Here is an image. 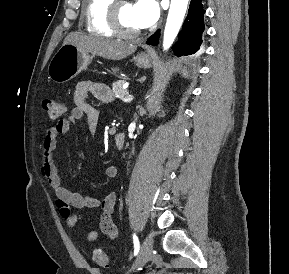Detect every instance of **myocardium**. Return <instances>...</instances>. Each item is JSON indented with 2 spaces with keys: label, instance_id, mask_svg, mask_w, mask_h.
I'll return each mask as SVG.
<instances>
[{
  "label": "myocardium",
  "instance_id": "myocardium-1",
  "mask_svg": "<svg viewBox=\"0 0 289 274\" xmlns=\"http://www.w3.org/2000/svg\"><path fill=\"white\" fill-rule=\"evenodd\" d=\"M126 0H113L109 7L108 22L115 35L122 38H136L141 35V30H129L124 27L120 19V7Z\"/></svg>",
  "mask_w": 289,
  "mask_h": 274
}]
</instances>
